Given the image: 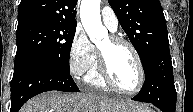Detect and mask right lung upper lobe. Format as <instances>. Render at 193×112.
I'll list each match as a JSON object with an SVG mask.
<instances>
[{
	"instance_id": "1",
	"label": "right lung upper lobe",
	"mask_w": 193,
	"mask_h": 112,
	"mask_svg": "<svg viewBox=\"0 0 193 112\" xmlns=\"http://www.w3.org/2000/svg\"><path fill=\"white\" fill-rule=\"evenodd\" d=\"M76 4L77 0H21L17 29L38 23L76 25Z\"/></svg>"
}]
</instances>
